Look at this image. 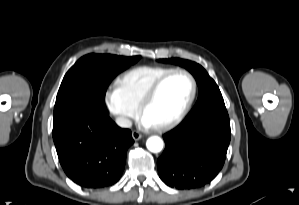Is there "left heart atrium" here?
Wrapping results in <instances>:
<instances>
[{
  "instance_id": "left-heart-atrium-1",
  "label": "left heart atrium",
  "mask_w": 299,
  "mask_h": 205,
  "mask_svg": "<svg viewBox=\"0 0 299 205\" xmlns=\"http://www.w3.org/2000/svg\"><path fill=\"white\" fill-rule=\"evenodd\" d=\"M141 123L144 127H151L152 126L151 123L148 120H146L144 117H142Z\"/></svg>"
}]
</instances>
